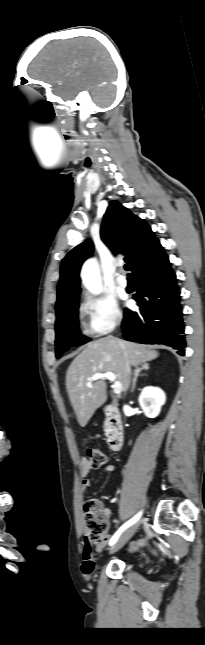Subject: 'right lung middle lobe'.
Here are the masks:
<instances>
[{
	"label": "right lung middle lobe",
	"mask_w": 205,
	"mask_h": 645,
	"mask_svg": "<svg viewBox=\"0 0 205 645\" xmlns=\"http://www.w3.org/2000/svg\"><path fill=\"white\" fill-rule=\"evenodd\" d=\"M78 298L71 306L57 314L55 325L57 358H60L61 354L70 347L83 345L89 341V339L81 336L79 333Z\"/></svg>",
	"instance_id": "dd1d6c3e"
}]
</instances>
